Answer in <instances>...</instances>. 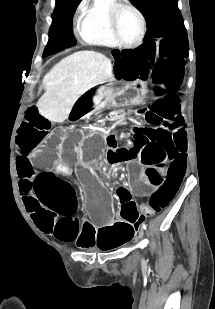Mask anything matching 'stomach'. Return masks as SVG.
Here are the masks:
<instances>
[{
	"mask_svg": "<svg viewBox=\"0 0 215 309\" xmlns=\"http://www.w3.org/2000/svg\"><path fill=\"white\" fill-rule=\"evenodd\" d=\"M146 85L143 82H136L131 84L128 88L124 89L120 94L125 99H133L142 95L145 92Z\"/></svg>",
	"mask_w": 215,
	"mask_h": 309,
	"instance_id": "stomach-1",
	"label": "stomach"
}]
</instances>
